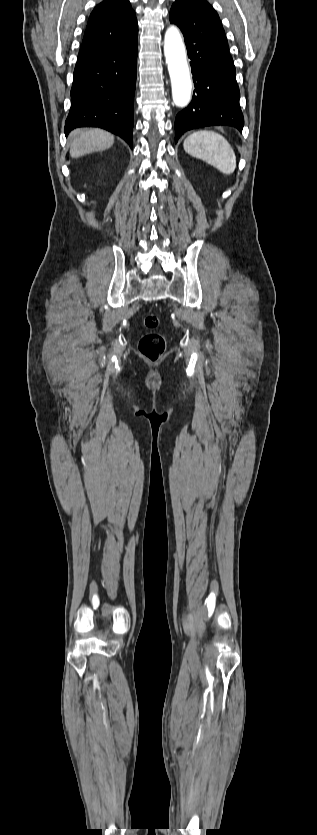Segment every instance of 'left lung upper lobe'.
<instances>
[{
  "label": "left lung upper lobe",
  "instance_id": "obj_1",
  "mask_svg": "<svg viewBox=\"0 0 317 835\" xmlns=\"http://www.w3.org/2000/svg\"><path fill=\"white\" fill-rule=\"evenodd\" d=\"M180 3H188L190 5H193L194 7L207 8L215 11L213 7L205 0H176L171 8L170 14L173 13L177 17H182V14L179 12L177 8V5Z\"/></svg>",
  "mask_w": 317,
  "mask_h": 835
}]
</instances>
